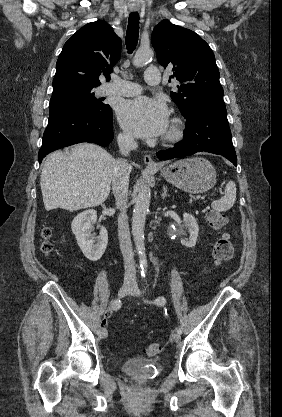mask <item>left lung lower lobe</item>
<instances>
[{
    "label": "left lung lower lobe",
    "mask_w": 282,
    "mask_h": 417,
    "mask_svg": "<svg viewBox=\"0 0 282 417\" xmlns=\"http://www.w3.org/2000/svg\"><path fill=\"white\" fill-rule=\"evenodd\" d=\"M186 120L183 141L176 143L172 149L158 152L157 157L160 160L208 152L222 155L237 165L223 101H203L194 105Z\"/></svg>",
    "instance_id": "1"
}]
</instances>
